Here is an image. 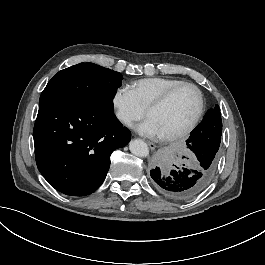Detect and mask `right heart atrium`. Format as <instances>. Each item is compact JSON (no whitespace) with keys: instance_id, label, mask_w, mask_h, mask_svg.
I'll list each match as a JSON object with an SVG mask.
<instances>
[{"instance_id":"obj_1","label":"right heart atrium","mask_w":265,"mask_h":265,"mask_svg":"<svg viewBox=\"0 0 265 265\" xmlns=\"http://www.w3.org/2000/svg\"><path fill=\"white\" fill-rule=\"evenodd\" d=\"M112 107L116 112V120L129 128H136L138 121L145 116V111L136 101L126 85L119 86L112 92Z\"/></svg>"}]
</instances>
